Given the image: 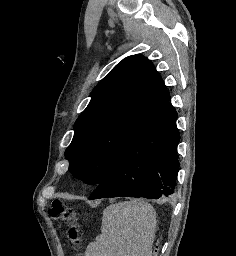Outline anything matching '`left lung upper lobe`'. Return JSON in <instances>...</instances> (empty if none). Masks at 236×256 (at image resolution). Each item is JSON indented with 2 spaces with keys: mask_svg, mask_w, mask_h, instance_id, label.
Masks as SVG:
<instances>
[{
  "mask_svg": "<svg viewBox=\"0 0 236 256\" xmlns=\"http://www.w3.org/2000/svg\"><path fill=\"white\" fill-rule=\"evenodd\" d=\"M169 101L151 61L141 55L124 58L94 88L75 122L65 151L69 172L90 185L100 184L137 127Z\"/></svg>",
  "mask_w": 236,
  "mask_h": 256,
  "instance_id": "left-lung-upper-lobe-1",
  "label": "left lung upper lobe"
}]
</instances>
